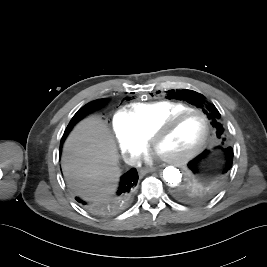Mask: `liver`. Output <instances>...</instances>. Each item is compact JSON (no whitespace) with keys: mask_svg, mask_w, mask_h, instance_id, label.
<instances>
[{"mask_svg":"<svg viewBox=\"0 0 267 267\" xmlns=\"http://www.w3.org/2000/svg\"><path fill=\"white\" fill-rule=\"evenodd\" d=\"M62 170L68 186L89 201H103L121 175L115 141L98 117L80 122L65 142Z\"/></svg>","mask_w":267,"mask_h":267,"instance_id":"obj_1","label":"liver"}]
</instances>
